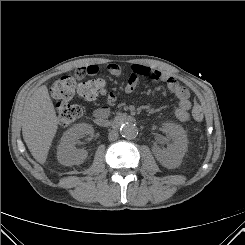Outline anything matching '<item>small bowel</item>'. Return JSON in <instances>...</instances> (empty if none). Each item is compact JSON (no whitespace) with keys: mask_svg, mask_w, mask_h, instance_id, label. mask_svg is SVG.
<instances>
[{"mask_svg":"<svg viewBox=\"0 0 245 245\" xmlns=\"http://www.w3.org/2000/svg\"><path fill=\"white\" fill-rule=\"evenodd\" d=\"M99 71V66L96 64H90L85 67H80L76 70V77L78 79L84 78L86 75H95ZM107 71L110 75L114 77H120L123 73L121 66L115 63H109L107 65ZM129 77L124 86V91L128 94L134 92L139 85L142 77H150L153 80L161 81L166 83L167 88L171 93H173L178 99V106L174 110L176 118L181 122H187L190 120V92L189 90L181 85L175 78L169 76L163 71L158 69H153L142 64H132L128 68ZM118 100V95L116 92H110L107 95V105L97 108L93 116L94 118L104 117L107 118L110 114L109 106L114 105Z\"/></svg>","mask_w":245,"mask_h":245,"instance_id":"obj_1","label":"small bowel"}]
</instances>
